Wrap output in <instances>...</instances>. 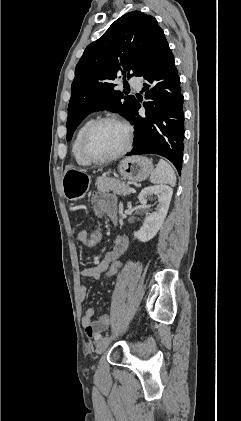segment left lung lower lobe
Listing matches in <instances>:
<instances>
[{
  "mask_svg": "<svg viewBox=\"0 0 241 421\" xmlns=\"http://www.w3.org/2000/svg\"><path fill=\"white\" fill-rule=\"evenodd\" d=\"M145 80L143 103L145 116H140L137 101L129 121L135 126L134 147L127 155L158 154L182 169L184 112L180 78L174 56L161 30L137 72Z\"/></svg>",
  "mask_w": 241,
  "mask_h": 421,
  "instance_id": "left-lung-lower-lobe-1",
  "label": "left lung lower lobe"
}]
</instances>
